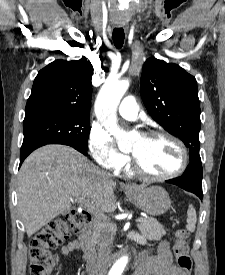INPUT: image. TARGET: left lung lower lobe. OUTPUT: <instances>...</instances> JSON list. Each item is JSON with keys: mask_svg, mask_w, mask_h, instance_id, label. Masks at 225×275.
Segmentation results:
<instances>
[{"mask_svg": "<svg viewBox=\"0 0 225 275\" xmlns=\"http://www.w3.org/2000/svg\"><path fill=\"white\" fill-rule=\"evenodd\" d=\"M167 183L175 184L186 191L196 194L200 199L203 198L202 193V164L201 159L190 161L182 176L167 180Z\"/></svg>", "mask_w": 225, "mask_h": 275, "instance_id": "left-lung-lower-lobe-1", "label": "left lung lower lobe"}]
</instances>
